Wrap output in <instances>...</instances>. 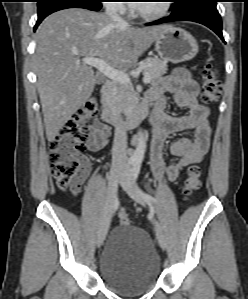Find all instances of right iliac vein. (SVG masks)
<instances>
[{"instance_id": "63e3f726", "label": "right iliac vein", "mask_w": 248, "mask_h": 299, "mask_svg": "<svg viewBox=\"0 0 248 299\" xmlns=\"http://www.w3.org/2000/svg\"><path fill=\"white\" fill-rule=\"evenodd\" d=\"M121 173L122 167L120 165H113L111 167L108 180L105 209L97 234L96 243L98 247H100L103 244L110 226L113 208L117 197V187L121 178Z\"/></svg>"}]
</instances>
